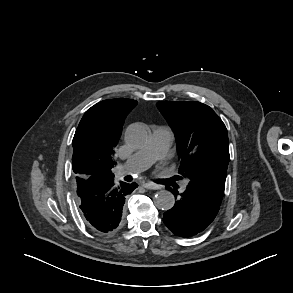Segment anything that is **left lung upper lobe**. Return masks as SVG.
Returning <instances> with one entry per match:
<instances>
[{"instance_id": "5c2ea615", "label": "left lung upper lobe", "mask_w": 293, "mask_h": 293, "mask_svg": "<svg viewBox=\"0 0 293 293\" xmlns=\"http://www.w3.org/2000/svg\"><path fill=\"white\" fill-rule=\"evenodd\" d=\"M157 107L175 130L182 177L202 193L222 201L230 159L222 120L200 102L161 101Z\"/></svg>"}]
</instances>
